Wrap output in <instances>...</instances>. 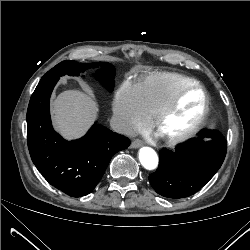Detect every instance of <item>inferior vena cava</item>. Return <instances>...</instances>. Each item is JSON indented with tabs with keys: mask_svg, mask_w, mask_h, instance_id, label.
<instances>
[{
	"mask_svg": "<svg viewBox=\"0 0 250 250\" xmlns=\"http://www.w3.org/2000/svg\"><path fill=\"white\" fill-rule=\"evenodd\" d=\"M110 126L117 133L134 136V131L131 125L120 117L113 116L110 120Z\"/></svg>",
	"mask_w": 250,
	"mask_h": 250,
	"instance_id": "1",
	"label": "inferior vena cava"
}]
</instances>
